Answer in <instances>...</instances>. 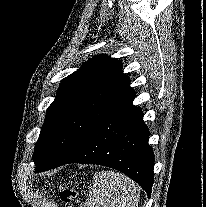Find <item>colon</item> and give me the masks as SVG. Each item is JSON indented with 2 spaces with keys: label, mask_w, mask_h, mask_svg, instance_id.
<instances>
[{
  "label": "colon",
  "mask_w": 206,
  "mask_h": 207,
  "mask_svg": "<svg viewBox=\"0 0 206 207\" xmlns=\"http://www.w3.org/2000/svg\"><path fill=\"white\" fill-rule=\"evenodd\" d=\"M60 199L65 203L66 207H75L77 192L72 185H65L60 189Z\"/></svg>",
  "instance_id": "colon-1"
}]
</instances>
